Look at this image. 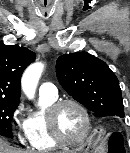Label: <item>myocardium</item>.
Segmentation results:
<instances>
[{
	"mask_svg": "<svg viewBox=\"0 0 130 153\" xmlns=\"http://www.w3.org/2000/svg\"><path fill=\"white\" fill-rule=\"evenodd\" d=\"M66 105L75 106L81 112L84 119V131L77 139L63 137L57 125L59 111ZM47 126L52 139L60 145L77 146L86 141L91 131V118L86 107L75 99H61L52 104L47 111Z\"/></svg>",
	"mask_w": 130,
	"mask_h": 153,
	"instance_id": "obj_1",
	"label": "myocardium"
}]
</instances>
